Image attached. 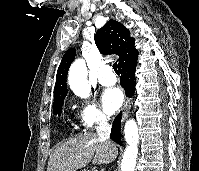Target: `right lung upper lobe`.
<instances>
[{"label":"right lung upper lobe","mask_w":199,"mask_h":171,"mask_svg":"<svg viewBox=\"0 0 199 171\" xmlns=\"http://www.w3.org/2000/svg\"><path fill=\"white\" fill-rule=\"evenodd\" d=\"M94 40L102 54L119 55L118 67L138 57V51L134 47L135 39L131 38L130 31L116 20L111 19L100 28ZM75 55V48H71L61 60L56 75L54 102L64 99L67 95L66 77Z\"/></svg>","instance_id":"cb5924a9"}]
</instances>
